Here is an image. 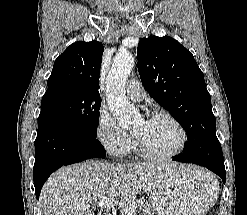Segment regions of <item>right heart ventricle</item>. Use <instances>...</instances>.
Here are the masks:
<instances>
[{"mask_svg":"<svg viewBox=\"0 0 247 215\" xmlns=\"http://www.w3.org/2000/svg\"><path fill=\"white\" fill-rule=\"evenodd\" d=\"M129 149H134V143L131 142Z\"/></svg>","mask_w":247,"mask_h":215,"instance_id":"right-heart-ventricle-1","label":"right heart ventricle"}]
</instances>
